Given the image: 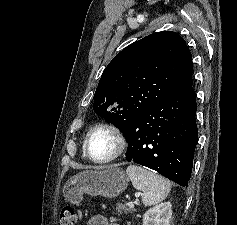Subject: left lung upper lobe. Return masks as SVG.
Wrapping results in <instances>:
<instances>
[{"mask_svg": "<svg viewBox=\"0 0 237 225\" xmlns=\"http://www.w3.org/2000/svg\"><path fill=\"white\" fill-rule=\"evenodd\" d=\"M192 56L175 32H157L132 43L103 71L95 113L123 134L160 101L192 87Z\"/></svg>", "mask_w": 237, "mask_h": 225, "instance_id": "1", "label": "left lung upper lobe"}]
</instances>
